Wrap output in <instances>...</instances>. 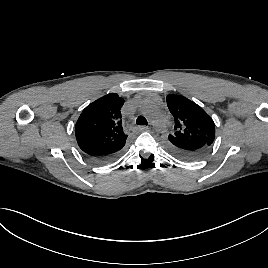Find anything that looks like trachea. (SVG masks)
I'll use <instances>...</instances> for the list:
<instances>
[{"mask_svg":"<svg viewBox=\"0 0 268 268\" xmlns=\"http://www.w3.org/2000/svg\"><path fill=\"white\" fill-rule=\"evenodd\" d=\"M136 124H137V125H147L148 122H147V120H146L145 117H143V116H139V117L137 118V120H136Z\"/></svg>","mask_w":268,"mask_h":268,"instance_id":"1","label":"trachea"}]
</instances>
